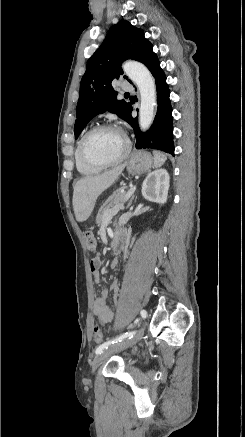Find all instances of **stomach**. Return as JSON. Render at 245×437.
Listing matches in <instances>:
<instances>
[{
	"mask_svg": "<svg viewBox=\"0 0 245 437\" xmlns=\"http://www.w3.org/2000/svg\"><path fill=\"white\" fill-rule=\"evenodd\" d=\"M153 166V157L147 152H134L127 162V171L131 175L148 172Z\"/></svg>",
	"mask_w": 245,
	"mask_h": 437,
	"instance_id": "1",
	"label": "stomach"
}]
</instances>
